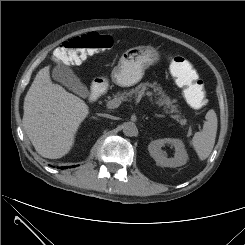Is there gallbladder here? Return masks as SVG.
<instances>
[{"mask_svg": "<svg viewBox=\"0 0 245 245\" xmlns=\"http://www.w3.org/2000/svg\"><path fill=\"white\" fill-rule=\"evenodd\" d=\"M52 77L69 90L78 94L79 96L86 97L88 94L87 87L80 81L73 70L64 64L57 65L52 72Z\"/></svg>", "mask_w": 245, "mask_h": 245, "instance_id": "bac80fb5", "label": "gallbladder"}]
</instances>
